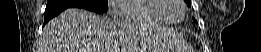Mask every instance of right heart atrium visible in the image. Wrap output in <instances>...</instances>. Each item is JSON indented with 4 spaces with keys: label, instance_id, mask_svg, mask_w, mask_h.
<instances>
[{
    "label": "right heart atrium",
    "instance_id": "right-heart-atrium-1",
    "mask_svg": "<svg viewBox=\"0 0 261 52\" xmlns=\"http://www.w3.org/2000/svg\"><path fill=\"white\" fill-rule=\"evenodd\" d=\"M116 2H119V0H118V1H110L109 4H110V5H114ZM115 11H116V10H115ZM116 13H117V11H116ZM117 14H118V13H117Z\"/></svg>",
    "mask_w": 261,
    "mask_h": 52
}]
</instances>
